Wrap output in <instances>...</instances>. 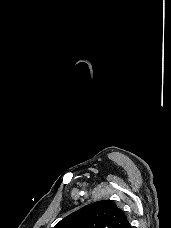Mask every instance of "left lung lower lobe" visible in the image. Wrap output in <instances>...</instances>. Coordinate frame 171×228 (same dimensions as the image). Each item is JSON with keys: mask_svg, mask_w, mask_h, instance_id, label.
Returning <instances> with one entry per match:
<instances>
[{"mask_svg": "<svg viewBox=\"0 0 171 228\" xmlns=\"http://www.w3.org/2000/svg\"><path fill=\"white\" fill-rule=\"evenodd\" d=\"M122 228H131L129 222H127Z\"/></svg>", "mask_w": 171, "mask_h": 228, "instance_id": "left-lung-lower-lobe-1", "label": "left lung lower lobe"}]
</instances>
